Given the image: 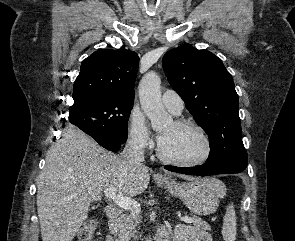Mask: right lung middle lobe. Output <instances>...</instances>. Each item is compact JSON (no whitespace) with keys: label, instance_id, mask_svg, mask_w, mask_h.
Returning <instances> with one entry per match:
<instances>
[{"label":"right lung middle lobe","instance_id":"1","mask_svg":"<svg viewBox=\"0 0 295 241\" xmlns=\"http://www.w3.org/2000/svg\"><path fill=\"white\" fill-rule=\"evenodd\" d=\"M133 100L88 97L69 108V122L90 135L111 143H125Z\"/></svg>","mask_w":295,"mask_h":241}]
</instances>
